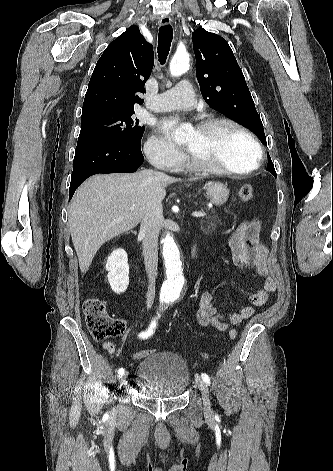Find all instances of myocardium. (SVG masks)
Returning a JSON list of instances; mask_svg holds the SVG:
<instances>
[{
  "instance_id": "f54148a6",
  "label": "myocardium",
  "mask_w": 333,
  "mask_h": 471,
  "mask_svg": "<svg viewBox=\"0 0 333 471\" xmlns=\"http://www.w3.org/2000/svg\"><path fill=\"white\" fill-rule=\"evenodd\" d=\"M218 125L232 126L236 128L237 130H239L240 132H242L251 141L257 154L254 165L245 170H234L226 166L213 163L212 161L206 158L200 157L198 155H195L189 151L190 164L193 167L202 171H207L211 173H219V174H228V175H247L256 171L260 167L261 161L263 158V150L256 136L243 124L227 117H215V118L205 119L198 124L197 129L201 131H208L211 128Z\"/></svg>"
}]
</instances>
